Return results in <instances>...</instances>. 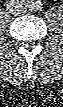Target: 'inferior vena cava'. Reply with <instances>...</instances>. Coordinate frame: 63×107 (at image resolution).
<instances>
[{
	"label": "inferior vena cava",
	"instance_id": "inferior-vena-cava-1",
	"mask_svg": "<svg viewBox=\"0 0 63 107\" xmlns=\"http://www.w3.org/2000/svg\"><path fill=\"white\" fill-rule=\"evenodd\" d=\"M7 9L14 15H19L26 12L25 3L22 1H12L8 3Z\"/></svg>",
	"mask_w": 63,
	"mask_h": 107
}]
</instances>
